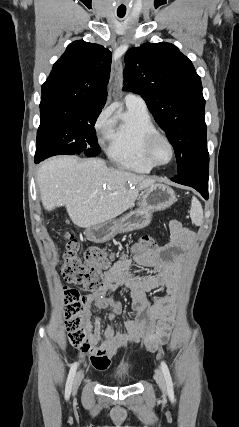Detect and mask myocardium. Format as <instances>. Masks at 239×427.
Segmentation results:
<instances>
[{"instance_id": "obj_1", "label": "myocardium", "mask_w": 239, "mask_h": 427, "mask_svg": "<svg viewBox=\"0 0 239 427\" xmlns=\"http://www.w3.org/2000/svg\"><path fill=\"white\" fill-rule=\"evenodd\" d=\"M159 141H164L170 149V157H169L168 161H166L164 163L158 162L154 158V155H153L154 147ZM145 156H146L147 160L154 167L166 166V165L170 164L173 161V159L175 158V146H174L172 140L166 134L157 131V132H154L153 134H151L146 140Z\"/></svg>"}]
</instances>
